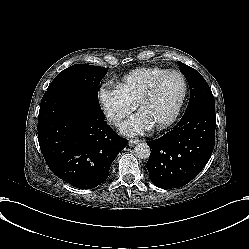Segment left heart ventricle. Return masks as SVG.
<instances>
[{"instance_id": "b2bd125f", "label": "left heart ventricle", "mask_w": 249, "mask_h": 249, "mask_svg": "<svg viewBox=\"0 0 249 249\" xmlns=\"http://www.w3.org/2000/svg\"><path fill=\"white\" fill-rule=\"evenodd\" d=\"M180 92L179 81L172 78L145 106L142 116L150 123H164L172 115Z\"/></svg>"}]
</instances>
